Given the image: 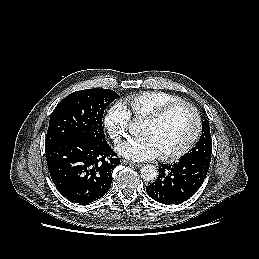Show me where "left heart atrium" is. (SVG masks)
I'll return each mask as SVG.
<instances>
[{"label":"left heart atrium","mask_w":259,"mask_h":259,"mask_svg":"<svg viewBox=\"0 0 259 259\" xmlns=\"http://www.w3.org/2000/svg\"><path fill=\"white\" fill-rule=\"evenodd\" d=\"M116 151L121 156L133 161H144L159 155L155 144L147 135H140L120 141L116 146Z\"/></svg>","instance_id":"obj_1"}]
</instances>
